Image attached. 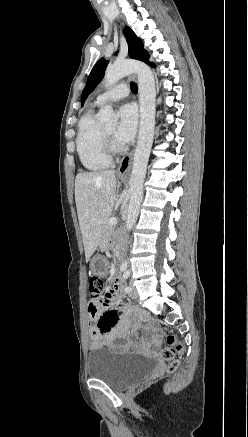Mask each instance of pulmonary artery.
Listing matches in <instances>:
<instances>
[{
    "label": "pulmonary artery",
    "mask_w": 248,
    "mask_h": 437,
    "mask_svg": "<svg viewBox=\"0 0 248 437\" xmlns=\"http://www.w3.org/2000/svg\"><path fill=\"white\" fill-rule=\"evenodd\" d=\"M129 86L127 83L122 82L111 89L99 94L96 98V105H104L106 103L114 102L126 97L129 94Z\"/></svg>",
    "instance_id": "e3ab8cb5"
}]
</instances>
